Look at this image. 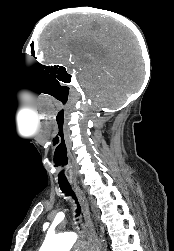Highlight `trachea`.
<instances>
[{
	"label": "trachea",
	"instance_id": "obj_1",
	"mask_svg": "<svg viewBox=\"0 0 174 251\" xmlns=\"http://www.w3.org/2000/svg\"><path fill=\"white\" fill-rule=\"evenodd\" d=\"M59 186H60V189L62 190V192L66 195V196H71L72 199H74L76 205H77V209H76V217H78L80 215V211H81V208L79 206V203H78V200L74 194V192L72 191L71 189V186L69 183H66V182H59Z\"/></svg>",
	"mask_w": 174,
	"mask_h": 251
}]
</instances>
